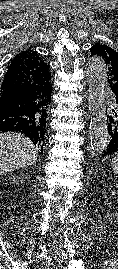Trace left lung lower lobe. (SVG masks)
Here are the masks:
<instances>
[{
  "label": "left lung lower lobe",
  "instance_id": "1",
  "mask_svg": "<svg viewBox=\"0 0 118 269\" xmlns=\"http://www.w3.org/2000/svg\"><path fill=\"white\" fill-rule=\"evenodd\" d=\"M107 112V111H106ZM108 120V139L103 151V156L118 153V99L115 98L111 115H107Z\"/></svg>",
  "mask_w": 118,
  "mask_h": 269
}]
</instances>
